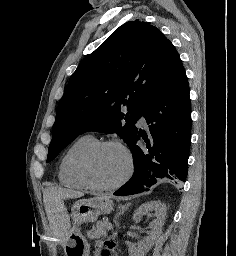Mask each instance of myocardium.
Returning a JSON list of instances; mask_svg holds the SVG:
<instances>
[{
    "mask_svg": "<svg viewBox=\"0 0 236 256\" xmlns=\"http://www.w3.org/2000/svg\"><path fill=\"white\" fill-rule=\"evenodd\" d=\"M107 147H117L119 148L125 155L127 161V168L125 174L121 178V180L109 187H100L97 186L90 177V164L95 155H97L100 151ZM134 171V160L133 155L129 148L124 145L122 142L117 140H106L97 142L82 158L80 164V177L84 185L91 191L95 193H112L123 187L132 177Z\"/></svg>",
    "mask_w": 236,
    "mask_h": 256,
    "instance_id": "f54148a6",
    "label": "myocardium"
}]
</instances>
